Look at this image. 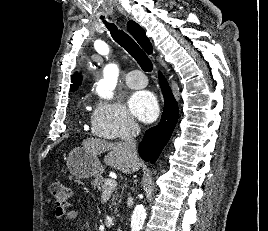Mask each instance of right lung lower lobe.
<instances>
[{
	"label": "right lung lower lobe",
	"instance_id": "1",
	"mask_svg": "<svg viewBox=\"0 0 268 231\" xmlns=\"http://www.w3.org/2000/svg\"><path fill=\"white\" fill-rule=\"evenodd\" d=\"M159 80L164 96V110L161 121L157 126L146 131L143 140L139 144L141 158L151 163L157 160L169 141L179 117L178 104L166 79L161 73H159Z\"/></svg>",
	"mask_w": 268,
	"mask_h": 231
}]
</instances>
